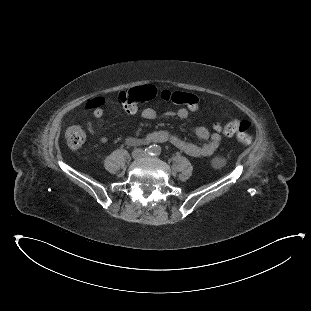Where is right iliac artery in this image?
Instances as JSON below:
<instances>
[{
    "label": "right iliac artery",
    "instance_id": "right-iliac-artery-1",
    "mask_svg": "<svg viewBox=\"0 0 311 311\" xmlns=\"http://www.w3.org/2000/svg\"><path fill=\"white\" fill-rule=\"evenodd\" d=\"M145 152L149 155H153L154 153V146H150L148 148L145 149Z\"/></svg>",
    "mask_w": 311,
    "mask_h": 311
}]
</instances>
